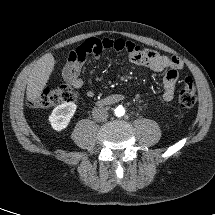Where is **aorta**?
<instances>
[{
    "label": "aorta",
    "instance_id": "762f6f07",
    "mask_svg": "<svg viewBox=\"0 0 215 215\" xmlns=\"http://www.w3.org/2000/svg\"><path fill=\"white\" fill-rule=\"evenodd\" d=\"M114 112L117 117H122L125 114V109L122 106H118L115 108Z\"/></svg>",
    "mask_w": 215,
    "mask_h": 215
}]
</instances>
